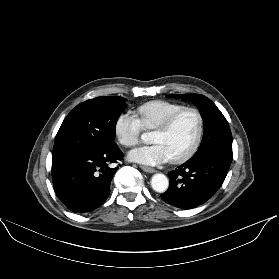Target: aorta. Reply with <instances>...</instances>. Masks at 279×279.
Segmentation results:
<instances>
[{"label":"aorta","mask_w":279,"mask_h":279,"mask_svg":"<svg viewBox=\"0 0 279 279\" xmlns=\"http://www.w3.org/2000/svg\"><path fill=\"white\" fill-rule=\"evenodd\" d=\"M146 136V134H143L142 138L145 139ZM151 186L154 191L164 193L168 189L169 180L164 174L157 173L152 176Z\"/></svg>","instance_id":"762f6f07"}]
</instances>
